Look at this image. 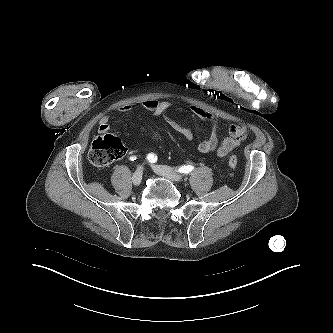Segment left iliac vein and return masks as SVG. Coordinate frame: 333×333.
I'll return each instance as SVG.
<instances>
[{
    "mask_svg": "<svg viewBox=\"0 0 333 333\" xmlns=\"http://www.w3.org/2000/svg\"><path fill=\"white\" fill-rule=\"evenodd\" d=\"M152 168L155 173H157L158 175H160L168 180H171L173 182L180 183V182H183V180H184L183 175L175 172L170 167L163 166V165H153Z\"/></svg>",
    "mask_w": 333,
    "mask_h": 333,
    "instance_id": "4c4485c4",
    "label": "left iliac vein"
}]
</instances>
